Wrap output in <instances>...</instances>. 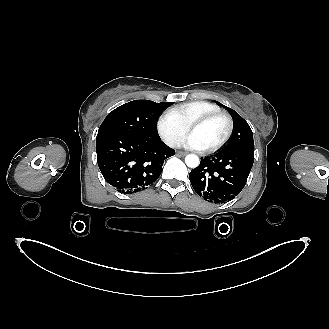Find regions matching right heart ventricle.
Masks as SVG:
<instances>
[{
  "label": "right heart ventricle",
  "instance_id": "obj_1",
  "mask_svg": "<svg viewBox=\"0 0 329 329\" xmlns=\"http://www.w3.org/2000/svg\"><path fill=\"white\" fill-rule=\"evenodd\" d=\"M170 111L180 120L184 126L188 127L189 124L195 119L209 113L221 111V109L214 103L198 100L177 105L171 108Z\"/></svg>",
  "mask_w": 329,
  "mask_h": 329
}]
</instances>
